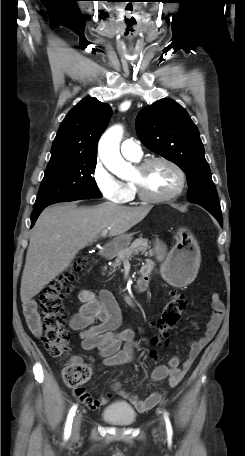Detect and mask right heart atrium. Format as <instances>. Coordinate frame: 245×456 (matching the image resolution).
I'll return each mask as SVG.
<instances>
[{"mask_svg":"<svg viewBox=\"0 0 245 456\" xmlns=\"http://www.w3.org/2000/svg\"><path fill=\"white\" fill-rule=\"evenodd\" d=\"M91 177L104 199L119 204L126 202L127 190L124 183L118 180L99 159L92 168Z\"/></svg>","mask_w":245,"mask_h":456,"instance_id":"1","label":"right heart atrium"}]
</instances>
